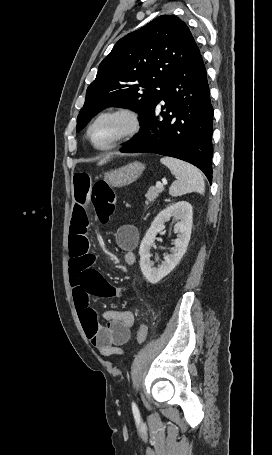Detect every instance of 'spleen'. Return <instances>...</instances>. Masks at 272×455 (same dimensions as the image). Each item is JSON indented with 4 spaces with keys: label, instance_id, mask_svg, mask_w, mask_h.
<instances>
[{
    "label": "spleen",
    "instance_id": "spleen-1",
    "mask_svg": "<svg viewBox=\"0 0 272 455\" xmlns=\"http://www.w3.org/2000/svg\"><path fill=\"white\" fill-rule=\"evenodd\" d=\"M160 161L166 165L176 177V181H174L169 188V194L171 196L177 197L191 192L204 194V178L196 167L171 157H163Z\"/></svg>",
    "mask_w": 272,
    "mask_h": 455
}]
</instances>
